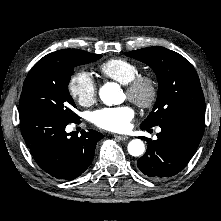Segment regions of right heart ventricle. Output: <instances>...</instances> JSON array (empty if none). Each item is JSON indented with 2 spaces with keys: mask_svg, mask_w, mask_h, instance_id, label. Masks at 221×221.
I'll return each mask as SVG.
<instances>
[{
  "mask_svg": "<svg viewBox=\"0 0 221 221\" xmlns=\"http://www.w3.org/2000/svg\"><path fill=\"white\" fill-rule=\"evenodd\" d=\"M99 71L104 76L123 85L130 82L140 73V69L135 63L123 58H113L103 62L99 66Z\"/></svg>",
  "mask_w": 221,
  "mask_h": 221,
  "instance_id": "e07e8e85",
  "label": "right heart ventricle"
}]
</instances>
